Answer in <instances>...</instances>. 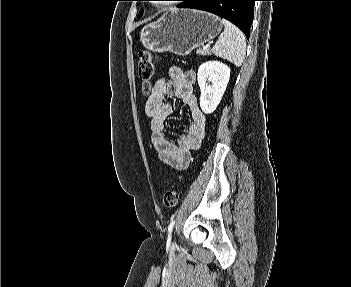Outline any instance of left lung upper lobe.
<instances>
[{
	"mask_svg": "<svg viewBox=\"0 0 351 287\" xmlns=\"http://www.w3.org/2000/svg\"><path fill=\"white\" fill-rule=\"evenodd\" d=\"M181 1V0H179ZM143 15V11L140 12V14L138 15V17H141Z\"/></svg>",
	"mask_w": 351,
	"mask_h": 287,
	"instance_id": "5c2ea615",
	"label": "left lung upper lobe"
}]
</instances>
